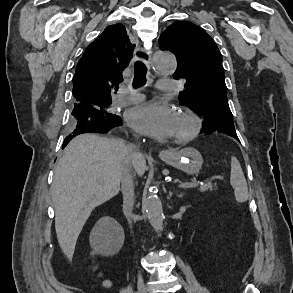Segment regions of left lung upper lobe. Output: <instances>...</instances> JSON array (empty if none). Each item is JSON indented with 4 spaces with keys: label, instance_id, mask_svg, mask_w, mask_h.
<instances>
[{
    "label": "left lung upper lobe",
    "instance_id": "1",
    "mask_svg": "<svg viewBox=\"0 0 293 293\" xmlns=\"http://www.w3.org/2000/svg\"><path fill=\"white\" fill-rule=\"evenodd\" d=\"M162 50L177 58L173 75L185 83L180 104L205 118V131H235L228 105L222 56L215 41L199 26L176 21L159 38Z\"/></svg>",
    "mask_w": 293,
    "mask_h": 293
}]
</instances>
